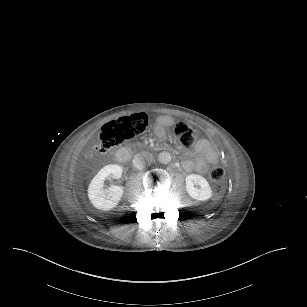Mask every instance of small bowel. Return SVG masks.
Instances as JSON below:
<instances>
[{
	"instance_id": "1",
	"label": "small bowel",
	"mask_w": 307,
	"mask_h": 307,
	"mask_svg": "<svg viewBox=\"0 0 307 307\" xmlns=\"http://www.w3.org/2000/svg\"><path fill=\"white\" fill-rule=\"evenodd\" d=\"M193 157V160H185L183 167L186 171L195 169L197 172L204 174L208 171L211 164L218 161V152L214 149L211 142L207 139H200L195 147L187 152Z\"/></svg>"
}]
</instances>
